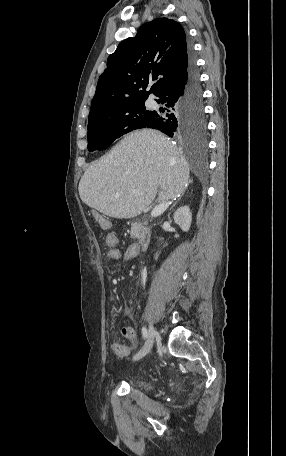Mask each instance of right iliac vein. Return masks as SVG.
<instances>
[{
  "mask_svg": "<svg viewBox=\"0 0 286 456\" xmlns=\"http://www.w3.org/2000/svg\"><path fill=\"white\" fill-rule=\"evenodd\" d=\"M155 336L156 330L153 325L150 324L147 340L141 350L133 357V360H140L150 352L154 343Z\"/></svg>",
  "mask_w": 286,
  "mask_h": 456,
  "instance_id": "1",
  "label": "right iliac vein"
}]
</instances>
